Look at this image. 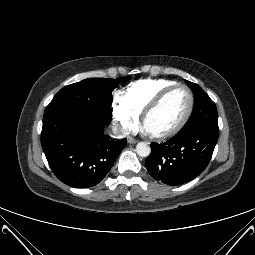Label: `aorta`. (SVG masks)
Returning <instances> with one entry per match:
<instances>
[{
    "mask_svg": "<svg viewBox=\"0 0 255 255\" xmlns=\"http://www.w3.org/2000/svg\"><path fill=\"white\" fill-rule=\"evenodd\" d=\"M136 153L140 157H147L151 153V148H150V146L146 142H139L136 145Z\"/></svg>",
    "mask_w": 255,
    "mask_h": 255,
    "instance_id": "762f6f07",
    "label": "aorta"
}]
</instances>
